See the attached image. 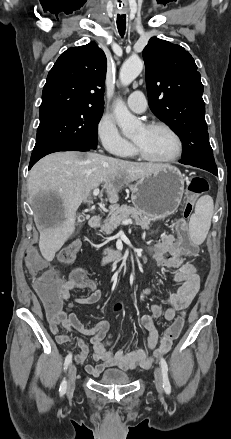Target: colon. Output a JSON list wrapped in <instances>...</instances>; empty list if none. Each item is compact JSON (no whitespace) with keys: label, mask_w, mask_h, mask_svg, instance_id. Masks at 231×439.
Wrapping results in <instances>:
<instances>
[{"label":"colon","mask_w":231,"mask_h":439,"mask_svg":"<svg viewBox=\"0 0 231 439\" xmlns=\"http://www.w3.org/2000/svg\"><path fill=\"white\" fill-rule=\"evenodd\" d=\"M208 190V183L205 179L200 177H194L190 181L189 193L191 198L188 199L183 207V218L177 223V232L179 237V243L182 250L177 251L176 260L178 262L186 263L189 259H193L196 256L197 248L191 240L190 234L187 229L186 219L191 215L193 210V198L205 193ZM80 246L78 243H72L66 246L59 254V260L62 263L70 264L72 263L78 252ZM39 248L37 246H32L27 251V256L25 260V267L29 268L34 274L33 283L34 291L37 292L38 298L41 299V305L44 306L45 316L49 320H58L59 313L56 309H59V290H60V276L54 271L49 269L48 259H40L37 256ZM71 278L75 283H77L81 288H94V283L90 281L82 269H75ZM120 305L116 306L119 309ZM180 316L175 319L172 325L164 332L163 338L168 341L175 340L183 327L185 319V308H180Z\"/></svg>","instance_id":"colon-1"}]
</instances>
